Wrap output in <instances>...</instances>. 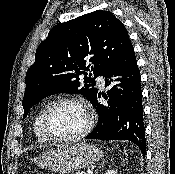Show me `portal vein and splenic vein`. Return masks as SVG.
Listing matches in <instances>:
<instances>
[{
  "mask_svg": "<svg viewBox=\"0 0 175 174\" xmlns=\"http://www.w3.org/2000/svg\"><path fill=\"white\" fill-rule=\"evenodd\" d=\"M87 174H93L92 170H87Z\"/></svg>",
  "mask_w": 175,
  "mask_h": 174,
  "instance_id": "portal-vein-and-splenic-vein-1",
  "label": "portal vein and splenic vein"
}]
</instances>
